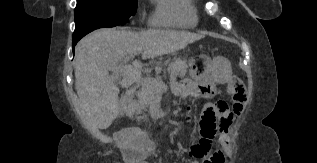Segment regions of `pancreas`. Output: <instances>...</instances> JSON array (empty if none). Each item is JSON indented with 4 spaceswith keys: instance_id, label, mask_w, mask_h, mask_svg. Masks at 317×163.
<instances>
[{
    "instance_id": "cf45deb5",
    "label": "pancreas",
    "mask_w": 317,
    "mask_h": 163,
    "mask_svg": "<svg viewBox=\"0 0 317 163\" xmlns=\"http://www.w3.org/2000/svg\"><path fill=\"white\" fill-rule=\"evenodd\" d=\"M188 65L186 60H182L181 58H176L172 62H170L168 66V72L177 77V76H185L187 74ZM154 78H146V81L153 80ZM141 89L137 91L136 96L137 100L133 101L130 107L127 109V115L135 118L137 120H142L144 116H140L146 111L156 96V89L149 86L147 83L141 84Z\"/></svg>"
}]
</instances>
